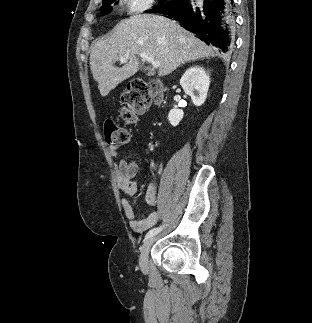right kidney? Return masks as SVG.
Instances as JSON below:
<instances>
[{
  "label": "right kidney",
  "mask_w": 312,
  "mask_h": 323,
  "mask_svg": "<svg viewBox=\"0 0 312 323\" xmlns=\"http://www.w3.org/2000/svg\"><path fill=\"white\" fill-rule=\"evenodd\" d=\"M210 80L202 66H191L186 70L180 80L185 94L191 96V100L195 106H202L207 98ZM183 118V110L173 108L168 114V120L171 126H178Z\"/></svg>",
  "instance_id": "ca27d5eb"
}]
</instances>
